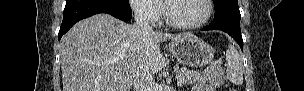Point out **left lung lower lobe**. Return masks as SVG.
<instances>
[{"mask_svg":"<svg viewBox=\"0 0 304 91\" xmlns=\"http://www.w3.org/2000/svg\"><path fill=\"white\" fill-rule=\"evenodd\" d=\"M240 19L241 15L239 8H232L226 13L216 17L210 25L202 28V30H222L228 33L243 50V39L240 29Z\"/></svg>","mask_w":304,"mask_h":91,"instance_id":"obj_1","label":"left lung lower lobe"}]
</instances>
